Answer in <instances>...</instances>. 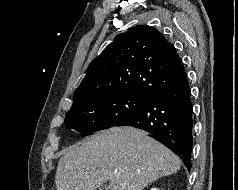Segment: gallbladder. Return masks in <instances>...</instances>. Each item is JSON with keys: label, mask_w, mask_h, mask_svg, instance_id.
I'll use <instances>...</instances> for the list:
<instances>
[{"label": "gallbladder", "mask_w": 238, "mask_h": 190, "mask_svg": "<svg viewBox=\"0 0 238 190\" xmlns=\"http://www.w3.org/2000/svg\"><path fill=\"white\" fill-rule=\"evenodd\" d=\"M98 190H108V185L103 184L102 186L99 187Z\"/></svg>", "instance_id": "obj_1"}]
</instances>
